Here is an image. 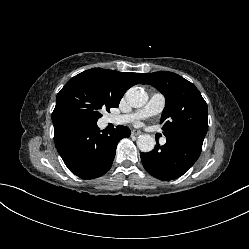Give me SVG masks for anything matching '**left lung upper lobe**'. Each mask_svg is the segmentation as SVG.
Listing matches in <instances>:
<instances>
[{
  "mask_svg": "<svg viewBox=\"0 0 249 249\" xmlns=\"http://www.w3.org/2000/svg\"><path fill=\"white\" fill-rule=\"evenodd\" d=\"M143 84H150L166 99L161 116L167 137L192 135L204 139L208 130L207 104L199 90L178 74L160 71L145 74Z\"/></svg>",
  "mask_w": 249,
  "mask_h": 249,
  "instance_id": "1",
  "label": "left lung upper lobe"
}]
</instances>
